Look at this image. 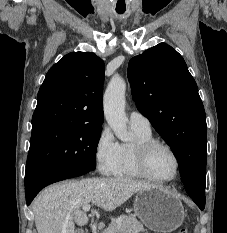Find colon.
I'll return each mask as SVG.
<instances>
[{"label":"colon","mask_w":227,"mask_h":233,"mask_svg":"<svg viewBox=\"0 0 227 233\" xmlns=\"http://www.w3.org/2000/svg\"><path fill=\"white\" fill-rule=\"evenodd\" d=\"M175 233H189V232L187 228L182 227V228H179Z\"/></svg>","instance_id":"colon-1"}]
</instances>
